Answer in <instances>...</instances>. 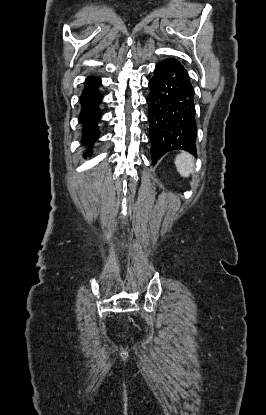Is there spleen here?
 <instances>
[{
	"instance_id": "1",
	"label": "spleen",
	"mask_w": 266,
	"mask_h": 415,
	"mask_svg": "<svg viewBox=\"0 0 266 415\" xmlns=\"http://www.w3.org/2000/svg\"><path fill=\"white\" fill-rule=\"evenodd\" d=\"M175 165L179 174L184 178H188L194 170V158L189 153L182 152L176 156Z\"/></svg>"
}]
</instances>
